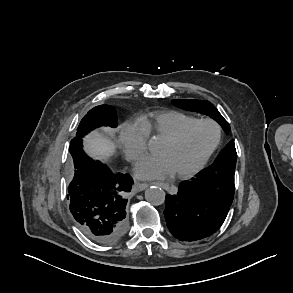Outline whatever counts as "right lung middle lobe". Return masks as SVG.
I'll return each mask as SVG.
<instances>
[{
	"instance_id": "right-lung-middle-lobe-1",
	"label": "right lung middle lobe",
	"mask_w": 293,
	"mask_h": 293,
	"mask_svg": "<svg viewBox=\"0 0 293 293\" xmlns=\"http://www.w3.org/2000/svg\"><path fill=\"white\" fill-rule=\"evenodd\" d=\"M117 117L112 107L101 105L91 109L81 120L75 137H83L94 128L101 126L117 127Z\"/></svg>"
}]
</instances>
